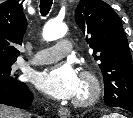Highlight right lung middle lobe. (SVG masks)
<instances>
[{
  "label": "right lung middle lobe",
  "mask_w": 133,
  "mask_h": 118,
  "mask_svg": "<svg viewBox=\"0 0 133 118\" xmlns=\"http://www.w3.org/2000/svg\"><path fill=\"white\" fill-rule=\"evenodd\" d=\"M13 64L14 62H0V88L15 87L23 83L17 80Z\"/></svg>",
  "instance_id": "obj_1"
}]
</instances>
